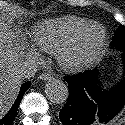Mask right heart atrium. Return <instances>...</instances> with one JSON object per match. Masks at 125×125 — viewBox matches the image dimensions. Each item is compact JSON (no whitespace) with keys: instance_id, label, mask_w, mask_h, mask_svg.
I'll return each mask as SVG.
<instances>
[{"instance_id":"d8ad5b80","label":"right heart atrium","mask_w":125,"mask_h":125,"mask_svg":"<svg viewBox=\"0 0 125 125\" xmlns=\"http://www.w3.org/2000/svg\"><path fill=\"white\" fill-rule=\"evenodd\" d=\"M29 55H30V56H33V57L36 56L35 52H33L32 50L29 51Z\"/></svg>"}]
</instances>
